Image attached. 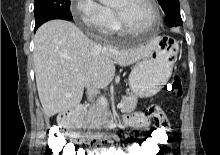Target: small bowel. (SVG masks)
Returning a JSON list of instances; mask_svg holds the SVG:
<instances>
[{
  "label": "small bowel",
  "mask_w": 220,
  "mask_h": 155,
  "mask_svg": "<svg viewBox=\"0 0 220 155\" xmlns=\"http://www.w3.org/2000/svg\"><path fill=\"white\" fill-rule=\"evenodd\" d=\"M147 113H148L147 115L142 114V113L128 115L124 118V124L126 126L135 127L140 130L147 131L148 130L147 126L149 125L148 116H151L153 117V119H159L160 123H166L165 129H168V134L166 135H169V141H170L171 140L170 124L168 120L166 119L164 113L159 109L158 105H149V107L147 108ZM94 139H95L94 142L90 141L89 143L90 144L94 143L95 145H107L108 144L107 140H96L97 139L96 137ZM164 145H167V144H162V146ZM133 149L134 147H130V146H128L126 150H121L118 148H109V149H106L102 155H136V152H134Z\"/></svg>",
  "instance_id": "obj_1"
}]
</instances>
